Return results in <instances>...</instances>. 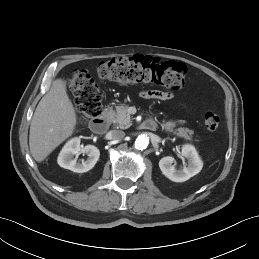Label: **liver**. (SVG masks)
I'll return each instance as SVG.
<instances>
[{"label":"liver","instance_id":"liver-1","mask_svg":"<svg viewBox=\"0 0 259 259\" xmlns=\"http://www.w3.org/2000/svg\"><path fill=\"white\" fill-rule=\"evenodd\" d=\"M76 124L77 115L67 94L66 83L61 78L56 79L32 117L29 147L33 158L42 162L73 134Z\"/></svg>","mask_w":259,"mask_h":259}]
</instances>
